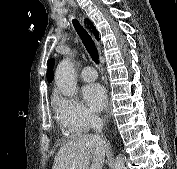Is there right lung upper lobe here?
Masks as SVG:
<instances>
[{"instance_id":"1","label":"right lung upper lobe","mask_w":177,"mask_h":169,"mask_svg":"<svg viewBox=\"0 0 177 169\" xmlns=\"http://www.w3.org/2000/svg\"><path fill=\"white\" fill-rule=\"evenodd\" d=\"M93 31H94V34H95L96 38L98 39V33H97L96 29L93 28ZM53 62H54V59H50L49 64H48V70H47V75L46 76H47V80L49 82H51L53 80V71H52Z\"/></svg>"}]
</instances>
